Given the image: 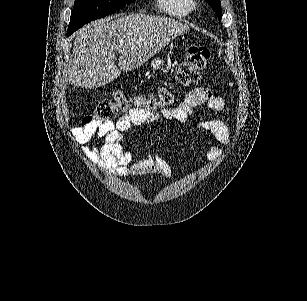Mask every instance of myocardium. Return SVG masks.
<instances>
[{
  "label": "myocardium",
  "mask_w": 307,
  "mask_h": 301,
  "mask_svg": "<svg viewBox=\"0 0 307 301\" xmlns=\"http://www.w3.org/2000/svg\"><path fill=\"white\" fill-rule=\"evenodd\" d=\"M191 1V0H189ZM193 4V3H192ZM198 4V3H197ZM189 12H191L192 14H196L197 12H200L201 11V8L200 7H189Z\"/></svg>",
  "instance_id": "myocardium-1"
}]
</instances>
